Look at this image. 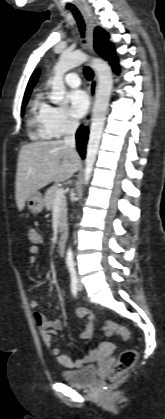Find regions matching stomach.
<instances>
[{
    "label": "stomach",
    "instance_id": "0dacf381",
    "mask_svg": "<svg viewBox=\"0 0 165 419\" xmlns=\"http://www.w3.org/2000/svg\"><path fill=\"white\" fill-rule=\"evenodd\" d=\"M27 207L32 213H40L44 208V199L40 192H35L27 198Z\"/></svg>",
    "mask_w": 165,
    "mask_h": 419
}]
</instances>
